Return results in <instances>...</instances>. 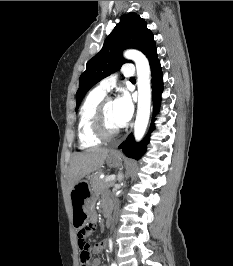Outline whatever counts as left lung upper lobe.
<instances>
[{"label":"left lung upper lobe","instance_id":"1","mask_svg":"<svg viewBox=\"0 0 233 266\" xmlns=\"http://www.w3.org/2000/svg\"><path fill=\"white\" fill-rule=\"evenodd\" d=\"M154 47L153 34L147 28L146 21L136 13L122 15L101 51L87 62L86 70L80 76L76 110L93 85L117 71L123 63L131 62L122 57L124 49H139L147 55Z\"/></svg>","mask_w":233,"mask_h":266}]
</instances>
